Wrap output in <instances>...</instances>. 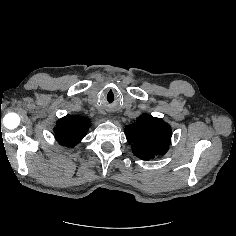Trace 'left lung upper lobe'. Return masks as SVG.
Masks as SVG:
<instances>
[{
    "label": "left lung upper lobe",
    "mask_w": 236,
    "mask_h": 236,
    "mask_svg": "<svg viewBox=\"0 0 236 236\" xmlns=\"http://www.w3.org/2000/svg\"><path fill=\"white\" fill-rule=\"evenodd\" d=\"M124 132L132 145L133 153L143 160L165 154L172 134L167 123L148 114H142L136 122L127 125Z\"/></svg>",
    "instance_id": "obj_1"
}]
</instances>
